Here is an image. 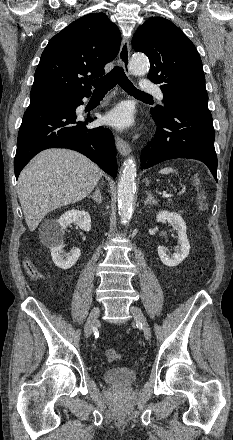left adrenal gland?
Returning <instances> with one entry per match:
<instances>
[{"mask_svg": "<svg viewBox=\"0 0 233 440\" xmlns=\"http://www.w3.org/2000/svg\"><path fill=\"white\" fill-rule=\"evenodd\" d=\"M148 204H150V205H157L158 204V202L152 196L151 192H147V197H146V199L144 201V205L145 206L148 205Z\"/></svg>", "mask_w": 233, "mask_h": 440, "instance_id": "a2214340", "label": "left adrenal gland"}]
</instances>
